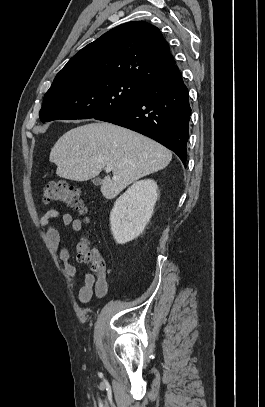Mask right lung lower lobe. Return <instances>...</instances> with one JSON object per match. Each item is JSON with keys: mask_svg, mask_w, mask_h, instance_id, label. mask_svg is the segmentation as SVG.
<instances>
[{"mask_svg": "<svg viewBox=\"0 0 265 407\" xmlns=\"http://www.w3.org/2000/svg\"><path fill=\"white\" fill-rule=\"evenodd\" d=\"M191 108L178 67L152 84L134 104L95 119L146 135L175 152L186 166Z\"/></svg>", "mask_w": 265, "mask_h": 407, "instance_id": "98d812e1", "label": "right lung lower lobe"}]
</instances>
